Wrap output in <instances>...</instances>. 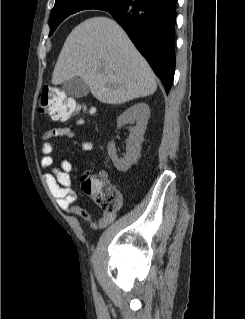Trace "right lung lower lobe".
Returning a JSON list of instances; mask_svg holds the SVG:
<instances>
[{"instance_id":"98d812e1","label":"right lung lower lobe","mask_w":245,"mask_h":319,"mask_svg":"<svg viewBox=\"0 0 245 319\" xmlns=\"http://www.w3.org/2000/svg\"><path fill=\"white\" fill-rule=\"evenodd\" d=\"M177 0H123L102 9L126 31L168 93L175 72V5Z\"/></svg>"}]
</instances>
